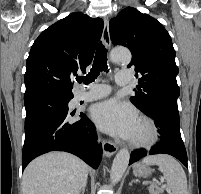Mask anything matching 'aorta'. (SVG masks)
<instances>
[{"instance_id":"762f6f07","label":"aorta","mask_w":201,"mask_h":194,"mask_svg":"<svg viewBox=\"0 0 201 194\" xmlns=\"http://www.w3.org/2000/svg\"><path fill=\"white\" fill-rule=\"evenodd\" d=\"M111 61L114 63L129 64L131 61V53L127 48L116 47L111 51ZM130 159V153L127 149H121L115 156L110 171V180L112 184H116L122 178Z\"/></svg>"}]
</instances>
